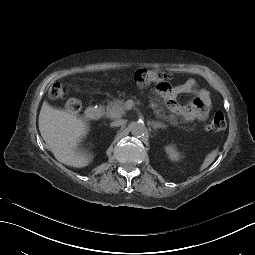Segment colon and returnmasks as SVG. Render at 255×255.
Instances as JSON below:
<instances>
[{
	"label": "colon",
	"instance_id": "colon-1",
	"mask_svg": "<svg viewBox=\"0 0 255 255\" xmlns=\"http://www.w3.org/2000/svg\"><path fill=\"white\" fill-rule=\"evenodd\" d=\"M170 76L159 70L139 69L133 75V80L138 86H147L152 83L157 85L159 90H164L168 87ZM66 90L61 83H54L49 88V96L53 99L65 96ZM66 107L71 112H79L82 108L80 100L77 98H69L66 102ZM226 128V119L221 111L214 113L210 123L207 126L209 131L220 132Z\"/></svg>",
	"mask_w": 255,
	"mask_h": 255
}]
</instances>
